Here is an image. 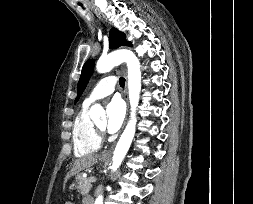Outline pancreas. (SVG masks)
I'll return each instance as SVG.
<instances>
[{
	"instance_id": "obj_1",
	"label": "pancreas",
	"mask_w": 253,
	"mask_h": 204,
	"mask_svg": "<svg viewBox=\"0 0 253 204\" xmlns=\"http://www.w3.org/2000/svg\"><path fill=\"white\" fill-rule=\"evenodd\" d=\"M78 180H79L78 186H77L78 191H79L82 195H86V194L90 191V189H91V187H92V184H91V182H90V180H89V177L84 178V177H81V176H80V177L78 178Z\"/></svg>"
}]
</instances>
